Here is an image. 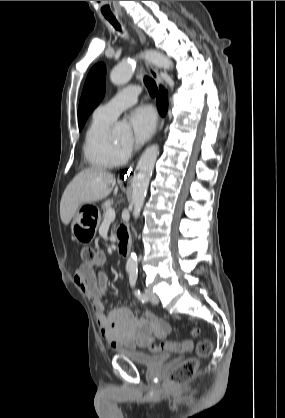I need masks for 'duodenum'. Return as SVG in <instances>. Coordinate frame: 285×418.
Masks as SVG:
<instances>
[{"mask_svg": "<svg viewBox=\"0 0 285 418\" xmlns=\"http://www.w3.org/2000/svg\"><path fill=\"white\" fill-rule=\"evenodd\" d=\"M117 237L119 239L118 244V253L121 256H128L131 248V243L128 237L123 236L119 231L117 233Z\"/></svg>", "mask_w": 285, "mask_h": 418, "instance_id": "duodenum-1", "label": "duodenum"}]
</instances>
